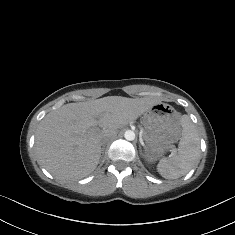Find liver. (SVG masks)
I'll return each instance as SVG.
<instances>
[{
    "label": "liver",
    "instance_id": "liver-1",
    "mask_svg": "<svg viewBox=\"0 0 235 235\" xmlns=\"http://www.w3.org/2000/svg\"><path fill=\"white\" fill-rule=\"evenodd\" d=\"M159 102L157 97L112 96L63 105L48 113L35 131L37 163L62 182L82 179L95 170L101 157V135L90 128L94 118H99L102 134L115 135Z\"/></svg>",
    "mask_w": 235,
    "mask_h": 235
}]
</instances>
